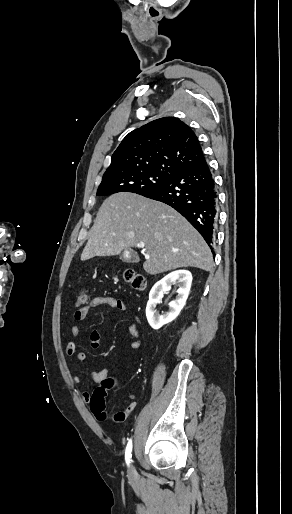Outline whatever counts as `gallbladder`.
I'll list each match as a JSON object with an SVG mask.
<instances>
[{
    "label": "gallbladder",
    "mask_w": 292,
    "mask_h": 514,
    "mask_svg": "<svg viewBox=\"0 0 292 514\" xmlns=\"http://www.w3.org/2000/svg\"><path fill=\"white\" fill-rule=\"evenodd\" d=\"M134 260H135V262H139V258L137 256V254H134Z\"/></svg>",
    "instance_id": "1"
}]
</instances>
